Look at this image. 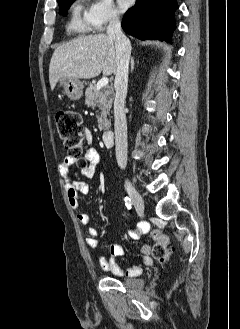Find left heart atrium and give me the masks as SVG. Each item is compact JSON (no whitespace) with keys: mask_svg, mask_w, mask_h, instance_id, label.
Here are the masks:
<instances>
[{"mask_svg":"<svg viewBox=\"0 0 240 329\" xmlns=\"http://www.w3.org/2000/svg\"><path fill=\"white\" fill-rule=\"evenodd\" d=\"M120 11H125L131 4V0H117Z\"/></svg>","mask_w":240,"mask_h":329,"instance_id":"left-heart-atrium-1","label":"left heart atrium"}]
</instances>
